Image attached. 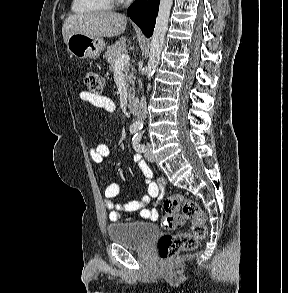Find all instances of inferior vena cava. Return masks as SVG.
<instances>
[{"mask_svg":"<svg viewBox=\"0 0 288 293\" xmlns=\"http://www.w3.org/2000/svg\"><path fill=\"white\" fill-rule=\"evenodd\" d=\"M132 0H127V5L131 3ZM147 115V103L144 96L141 97L140 103H139V111L137 115L138 122L143 123Z\"/></svg>","mask_w":288,"mask_h":293,"instance_id":"inferior-vena-cava-1","label":"inferior vena cava"}]
</instances>
